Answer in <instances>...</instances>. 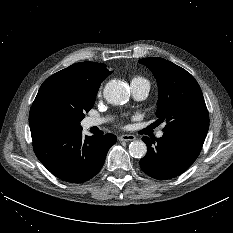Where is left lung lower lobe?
I'll list each match as a JSON object with an SVG mask.
<instances>
[{"label": "left lung lower lobe", "instance_id": "obj_1", "mask_svg": "<svg viewBox=\"0 0 233 233\" xmlns=\"http://www.w3.org/2000/svg\"><path fill=\"white\" fill-rule=\"evenodd\" d=\"M206 135L199 131L184 130L164 132L159 139L143 137L147 154L140 160L141 169L158 180L182 174L197 159Z\"/></svg>", "mask_w": 233, "mask_h": 233}]
</instances>
